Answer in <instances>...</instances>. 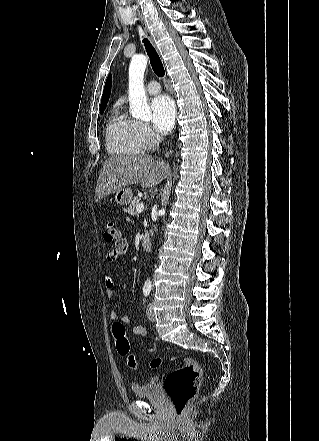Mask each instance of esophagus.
Returning a JSON list of instances; mask_svg holds the SVG:
<instances>
[{"mask_svg":"<svg viewBox=\"0 0 319 441\" xmlns=\"http://www.w3.org/2000/svg\"><path fill=\"white\" fill-rule=\"evenodd\" d=\"M139 19H140V21H141V23H142V26H143V28H144V31H145V33H146L148 39H149L150 42L154 45V40H153V37H152V35H151L150 29L148 28L146 21L144 20V18H143L142 15H140V14H139Z\"/></svg>","mask_w":319,"mask_h":441,"instance_id":"esophagus-1","label":"esophagus"}]
</instances>
